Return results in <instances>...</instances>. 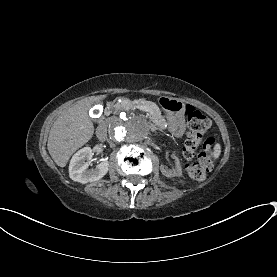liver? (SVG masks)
I'll return each instance as SVG.
<instances>
[{
  "label": "liver",
  "mask_w": 277,
  "mask_h": 277,
  "mask_svg": "<svg viewBox=\"0 0 277 277\" xmlns=\"http://www.w3.org/2000/svg\"><path fill=\"white\" fill-rule=\"evenodd\" d=\"M105 98L106 95L85 98L64 111L54 122L47 149L58 166L65 167L71 155L92 138L94 126L88 110L92 104Z\"/></svg>",
  "instance_id": "obj_1"
}]
</instances>
